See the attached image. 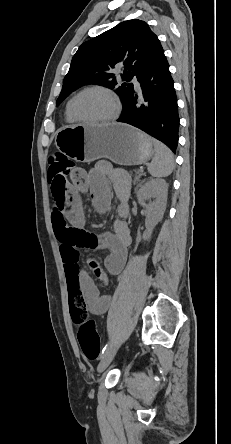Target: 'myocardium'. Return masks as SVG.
<instances>
[{"mask_svg": "<svg viewBox=\"0 0 231 444\" xmlns=\"http://www.w3.org/2000/svg\"><path fill=\"white\" fill-rule=\"evenodd\" d=\"M93 90L101 91L110 98V100L113 104V113L110 116L100 119V120H88V119L82 117L78 113V111L76 109V104H77L79 97L81 95H83L84 93H86L88 91H93ZM120 111H121V104H120V101H119L118 97L116 96V94L111 89H109L105 86H102V85H91V86L83 88L73 97L72 102H71V113L74 116V118L79 122H82L84 124H89V125H102V124L111 123L118 118Z\"/></svg>", "mask_w": 231, "mask_h": 444, "instance_id": "1", "label": "myocardium"}]
</instances>
